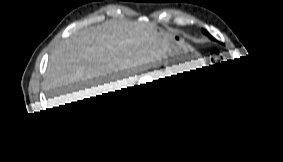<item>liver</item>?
I'll return each instance as SVG.
<instances>
[{
  "instance_id": "liver-1",
  "label": "liver",
  "mask_w": 283,
  "mask_h": 162,
  "mask_svg": "<svg viewBox=\"0 0 283 162\" xmlns=\"http://www.w3.org/2000/svg\"><path fill=\"white\" fill-rule=\"evenodd\" d=\"M155 26L147 18L111 20L60 41L44 75L50 105L114 93L132 84L137 70L158 66L163 49Z\"/></svg>"
}]
</instances>
